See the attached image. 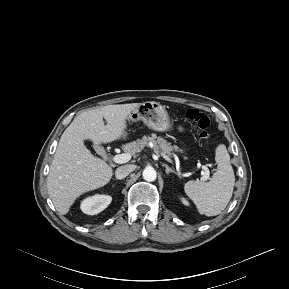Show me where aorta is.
<instances>
[{"label": "aorta", "instance_id": "1", "mask_svg": "<svg viewBox=\"0 0 289 289\" xmlns=\"http://www.w3.org/2000/svg\"><path fill=\"white\" fill-rule=\"evenodd\" d=\"M142 175L146 181H150V182L155 181L157 178V173L155 169L152 167L145 168Z\"/></svg>", "mask_w": 289, "mask_h": 289}]
</instances>
